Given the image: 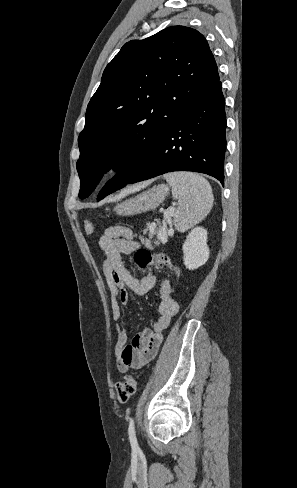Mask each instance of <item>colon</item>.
Instances as JSON below:
<instances>
[{
  "label": "colon",
  "instance_id": "5ec220e1",
  "mask_svg": "<svg viewBox=\"0 0 297 488\" xmlns=\"http://www.w3.org/2000/svg\"><path fill=\"white\" fill-rule=\"evenodd\" d=\"M85 230L87 233L92 234L94 231V225L92 222L85 223ZM135 262L138 267L143 270L170 268L172 272L179 277V268L172 263V261L164 256H153L150 252L144 249H140L135 254ZM115 391L117 399L121 403L128 402L136 392V380L132 375H127L124 379L118 381L115 385Z\"/></svg>",
  "mask_w": 297,
  "mask_h": 488
}]
</instances>
